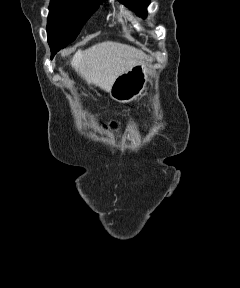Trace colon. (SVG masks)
Instances as JSON below:
<instances>
[{
  "mask_svg": "<svg viewBox=\"0 0 240 288\" xmlns=\"http://www.w3.org/2000/svg\"><path fill=\"white\" fill-rule=\"evenodd\" d=\"M109 127H110V128H115V127H116V123L111 122V123L109 124Z\"/></svg>",
  "mask_w": 240,
  "mask_h": 288,
  "instance_id": "5ec220e1",
  "label": "colon"
}]
</instances>
